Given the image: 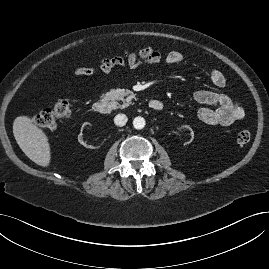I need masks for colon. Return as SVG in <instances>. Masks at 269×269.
Segmentation results:
<instances>
[{"mask_svg": "<svg viewBox=\"0 0 269 269\" xmlns=\"http://www.w3.org/2000/svg\"><path fill=\"white\" fill-rule=\"evenodd\" d=\"M71 115V103L68 99L57 101L50 108L41 111L34 119L35 124L44 131H53L58 121ZM251 139V131L248 128L241 129L237 134V142L241 145Z\"/></svg>", "mask_w": 269, "mask_h": 269, "instance_id": "5ec220e1", "label": "colon"}]
</instances>
